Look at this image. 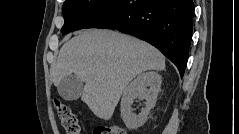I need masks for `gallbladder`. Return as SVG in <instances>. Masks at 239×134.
<instances>
[{"label":"gallbladder","instance_id":"1","mask_svg":"<svg viewBox=\"0 0 239 134\" xmlns=\"http://www.w3.org/2000/svg\"><path fill=\"white\" fill-rule=\"evenodd\" d=\"M59 95L67 101H73L81 96L83 82L71 74L64 77L57 86Z\"/></svg>","mask_w":239,"mask_h":134}]
</instances>
